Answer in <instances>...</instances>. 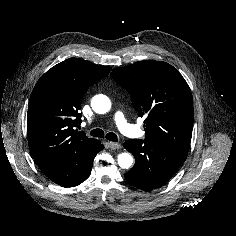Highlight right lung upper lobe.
Returning <instances> with one entry per match:
<instances>
[{"mask_svg":"<svg viewBox=\"0 0 236 236\" xmlns=\"http://www.w3.org/2000/svg\"><path fill=\"white\" fill-rule=\"evenodd\" d=\"M110 70L70 58L38 80L29 100L27 134L30 151L39 167L96 146V140L76 129L82 116L78 110L87 89Z\"/></svg>","mask_w":236,"mask_h":236,"instance_id":"right-lung-upper-lobe-1","label":"right lung upper lobe"}]
</instances>
